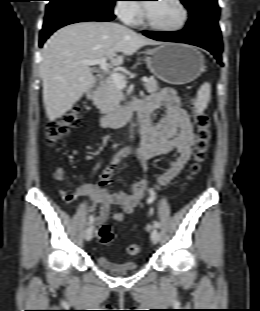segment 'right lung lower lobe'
Returning a JSON list of instances; mask_svg holds the SVG:
<instances>
[{
    "mask_svg": "<svg viewBox=\"0 0 260 311\" xmlns=\"http://www.w3.org/2000/svg\"><path fill=\"white\" fill-rule=\"evenodd\" d=\"M113 13L105 12L81 0H50L46 7L45 22L40 33L39 46L57 29L84 21H111Z\"/></svg>",
    "mask_w": 260,
    "mask_h": 311,
    "instance_id": "right-lung-lower-lobe-1",
    "label": "right lung lower lobe"
}]
</instances>
